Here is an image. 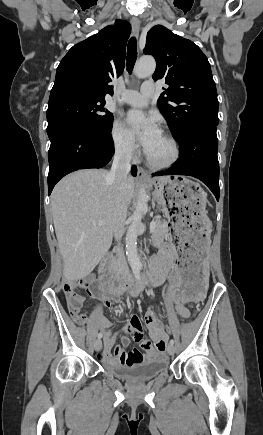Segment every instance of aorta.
I'll return each mask as SVG.
<instances>
[{
	"instance_id": "1",
	"label": "aorta",
	"mask_w": 263,
	"mask_h": 435,
	"mask_svg": "<svg viewBox=\"0 0 263 435\" xmlns=\"http://www.w3.org/2000/svg\"><path fill=\"white\" fill-rule=\"evenodd\" d=\"M156 68V62L153 57L146 56L138 60L134 73L137 78L143 79L151 76ZM148 196L144 188L139 191V196L136 204L135 211L132 215V222L126 234V255L128 262L135 274H138L142 268V264L137 253V237L138 230L141 225L143 213L147 209Z\"/></svg>"
}]
</instances>
